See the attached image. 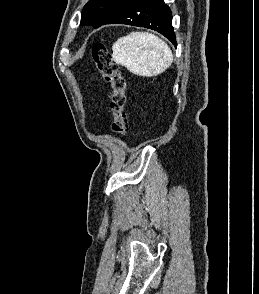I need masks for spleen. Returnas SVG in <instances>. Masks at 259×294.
<instances>
[{
  "instance_id": "obj_1",
  "label": "spleen",
  "mask_w": 259,
  "mask_h": 294,
  "mask_svg": "<svg viewBox=\"0 0 259 294\" xmlns=\"http://www.w3.org/2000/svg\"><path fill=\"white\" fill-rule=\"evenodd\" d=\"M112 58L131 73L151 77L164 72L173 62L169 46L148 32H132L112 46Z\"/></svg>"
}]
</instances>
